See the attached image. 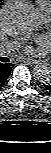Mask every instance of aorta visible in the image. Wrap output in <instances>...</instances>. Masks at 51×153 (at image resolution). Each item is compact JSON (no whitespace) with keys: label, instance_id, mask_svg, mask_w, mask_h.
<instances>
[{"label":"aorta","instance_id":"1","mask_svg":"<svg viewBox=\"0 0 51 153\" xmlns=\"http://www.w3.org/2000/svg\"><path fill=\"white\" fill-rule=\"evenodd\" d=\"M2 28L9 35H22L32 30L34 25V9L27 1L17 0L1 11ZM36 79L43 84L51 82V65L41 62L34 69Z\"/></svg>","mask_w":51,"mask_h":153}]
</instances>
